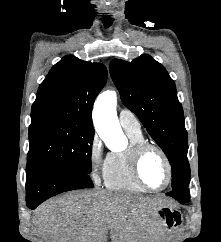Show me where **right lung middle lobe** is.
I'll list each match as a JSON object with an SVG mask.
<instances>
[{
  "instance_id": "right-lung-middle-lobe-1",
  "label": "right lung middle lobe",
  "mask_w": 221,
  "mask_h": 242,
  "mask_svg": "<svg viewBox=\"0 0 221 242\" xmlns=\"http://www.w3.org/2000/svg\"><path fill=\"white\" fill-rule=\"evenodd\" d=\"M93 138V128L75 123L30 126L27 168L50 165L89 174Z\"/></svg>"
}]
</instances>
